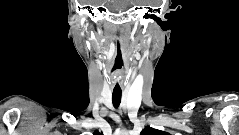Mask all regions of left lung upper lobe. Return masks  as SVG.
<instances>
[{
    "label": "left lung upper lobe",
    "mask_w": 239,
    "mask_h": 135,
    "mask_svg": "<svg viewBox=\"0 0 239 135\" xmlns=\"http://www.w3.org/2000/svg\"><path fill=\"white\" fill-rule=\"evenodd\" d=\"M141 135H169V133L147 126L145 129L142 130Z\"/></svg>",
    "instance_id": "1"
}]
</instances>
